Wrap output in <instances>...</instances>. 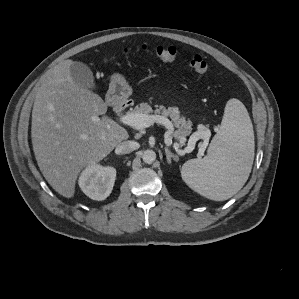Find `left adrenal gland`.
Here are the masks:
<instances>
[{
  "label": "left adrenal gland",
  "mask_w": 299,
  "mask_h": 299,
  "mask_svg": "<svg viewBox=\"0 0 299 299\" xmlns=\"http://www.w3.org/2000/svg\"><path fill=\"white\" fill-rule=\"evenodd\" d=\"M165 154L168 164H171V159H173L174 161H178V156L171 153L167 147H165Z\"/></svg>",
  "instance_id": "obj_1"
}]
</instances>
